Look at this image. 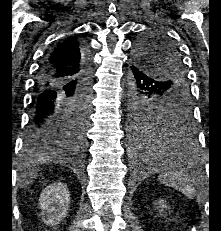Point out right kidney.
I'll return each mask as SVG.
<instances>
[{"label": "right kidney", "mask_w": 221, "mask_h": 231, "mask_svg": "<svg viewBox=\"0 0 221 231\" xmlns=\"http://www.w3.org/2000/svg\"><path fill=\"white\" fill-rule=\"evenodd\" d=\"M69 204L70 194L67 186L61 182L50 184L39 198L42 221L49 226L59 224L66 217Z\"/></svg>", "instance_id": "ca27d5eb"}]
</instances>
